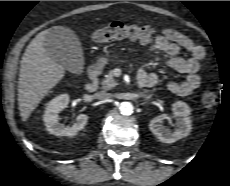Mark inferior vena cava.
<instances>
[{"instance_id": "1", "label": "inferior vena cava", "mask_w": 230, "mask_h": 186, "mask_svg": "<svg viewBox=\"0 0 230 186\" xmlns=\"http://www.w3.org/2000/svg\"><path fill=\"white\" fill-rule=\"evenodd\" d=\"M110 96H111L110 93H106V92H97L95 94V97L100 100L108 99Z\"/></svg>"}]
</instances>
